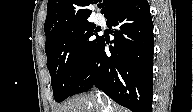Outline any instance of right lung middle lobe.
Returning <instances> with one entry per match:
<instances>
[{
  "instance_id": "dd1d6c3e",
  "label": "right lung middle lobe",
  "mask_w": 193,
  "mask_h": 112,
  "mask_svg": "<svg viewBox=\"0 0 193 112\" xmlns=\"http://www.w3.org/2000/svg\"><path fill=\"white\" fill-rule=\"evenodd\" d=\"M97 32L92 23L74 26L59 32L45 43L47 68L56 102L70 96L99 49L103 37L98 36Z\"/></svg>"
}]
</instances>
